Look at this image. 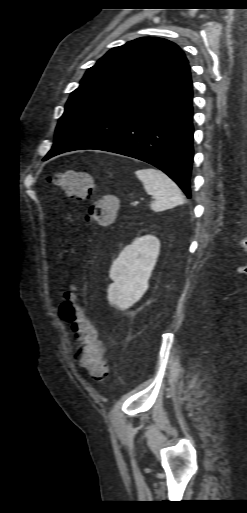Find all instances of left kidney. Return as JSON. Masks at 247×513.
Masks as SVG:
<instances>
[{"label": "left kidney", "instance_id": "obj_1", "mask_svg": "<svg viewBox=\"0 0 247 513\" xmlns=\"http://www.w3.org/2000/svg\"><path fill=\"white\" fill-rule=\"evenodd\" d=\"M160 251V241L152 235L136 238L113 262L109 277L108 301L120 310L135 304L147 291L149 278Z\"/></svg>", "mask_w": 247, "mask_h": 513}]
</instances>
